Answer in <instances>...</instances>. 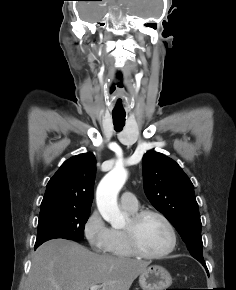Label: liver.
<instances>
[{
    "label": "liver",
    "instance_id": "obj_1",
    "mask_svg": "<svg viewBox=\"0 0 236 290\" xmlns=\"http://www.w3.org/2000/svg\"><path fill=\"white\" fill-rule=\"evenodd\" d=\"M149 262L100 255L79 243L53 239L34 253L26 290H129Z\"/></svg>",
    "mask_w": 236,
    "mask_h": 290
}]
</instances>
